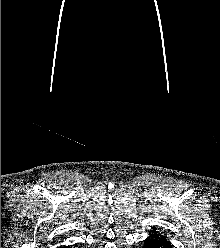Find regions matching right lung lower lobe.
Wrapping results in <instances>:
<instances>
[{"mask_svg": "<svg viewBox=\"0 0 220 248\" xmlns=\"http://www.w3.org/2000/svg\"><path fill=\"white\" fill-rule=\"evenodd\" d=\"M61 248H69V247H65V246H64V247H61Z\"/></svg>", "mask_w": 220, "mask_h": 248, "instance_id": "98d812e1", "label": "right lung lower lobe"}]
</instances>
